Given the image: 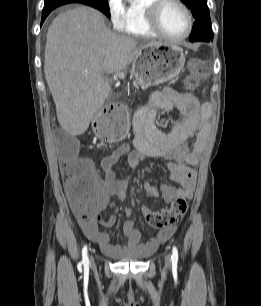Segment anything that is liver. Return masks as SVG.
I'll list each match as a JSON object with an SVG mask.
<instances>
[{
	"label": "liver",
	"instance_id": "liver-1",
	"mask_svg": "<svg viewBox=\"0 0 261 306\" xmlns=\"http://www.w3.org/2000/svg\"><path fill=\"white\" fill-rule=\"evenodd\" d=\"M156 44L112 32L91 7L60 13L49 26L44 61L60 126L71 135L83 134L111 91L102 74L120 73Z\"/></svg>",
	"mask_w": 261,
	"mask_h": 306
}]
</instances>
